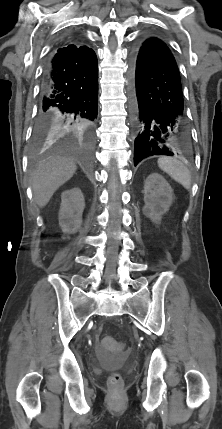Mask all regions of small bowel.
Returning a JSON list of instances; mask_svg holds the SVG:
<instances>
[{
  "label": "small bowel",
  "instance_id": "obj_1",
  "mask_svg": "<svg viewBox=\"0 0 222 429\" xmlns=\"http://www.w3.org/2000/svg\"><path fill=\"white\" fill-rule=\"evenodd\" d=\"M108 350L109 349L104 347L102 344L98 346V352H99L100 356L103 358H108V356H109Z\"/></svg>",
  "mask_w": 222,
  "mask_h": 429
}]
</instances>
